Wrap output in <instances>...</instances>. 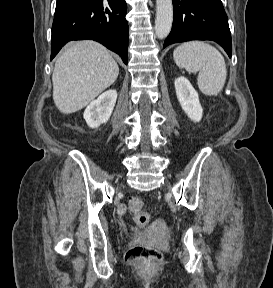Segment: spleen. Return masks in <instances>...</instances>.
<instances>
[{"instance_id": "spleen-1", "label": "spleen", "mask_w": 273, "mask_h": 288, "mask_svg": "<svg viewBox=\"0 0 273 288\" xmlns=\"http://www.w3.org/2000/svg\"><path fill=\"white\" fill-rule=\"evenodd\" d=\"M173 58L179 68L199 72L197 84L208 96L217 95L224 87L227 69L223 55L203 41H189L178 46Z\"/></svg>"}]
</instances>
